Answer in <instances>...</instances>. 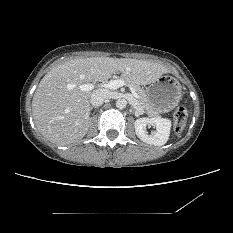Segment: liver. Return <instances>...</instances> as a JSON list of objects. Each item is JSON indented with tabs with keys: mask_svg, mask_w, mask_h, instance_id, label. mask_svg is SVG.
<instances>
[{
	"mask_svg": "<svg viewBox=\"0 0 233 233\" xmlns=\"http://www.w3.org/2000/svg\"><path fill=\"white\" fill-rule=\"evenodd\" d=\"M117 72L137 85L154 82L168 72L160 63L131 58H75L53 67L40 81L32 100L38 131L49 141L68 145L81 140L90 126L91 91L79 87L102 82Z\"/></svg>",
	"mask_w": 233,
	"mask_h": 233,
	"instance_id": "6515ba94",
	"label": "liver"
}]
</instances>
